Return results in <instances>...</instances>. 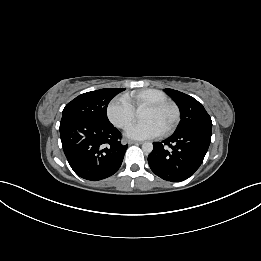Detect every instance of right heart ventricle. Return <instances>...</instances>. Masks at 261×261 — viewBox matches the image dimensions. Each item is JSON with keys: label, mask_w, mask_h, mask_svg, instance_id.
Masks as SVG:
<instances>
[{"label": "right heart ventricle", "mask_w": 261, "mask_h": 261, "mask_svg": "<svg viewBox=\"0 0 261 261\" xmlns=\"http://www.w3.org/2000/svg\"><path fill=\"white\" fill-rule=\"evenodd\" d=\"M134 109H139L151 103H159L167 101L164 92L157 89H142L131 92L125 96Z\"/></svg>", "instance_id": "obj_1"}]
</instances>
